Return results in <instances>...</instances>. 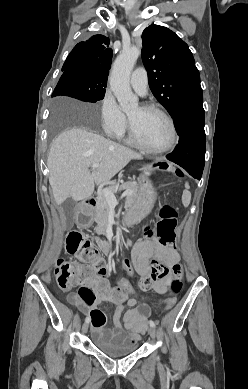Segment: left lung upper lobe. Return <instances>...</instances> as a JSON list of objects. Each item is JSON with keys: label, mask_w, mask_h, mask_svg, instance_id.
<instances>
[{"label": "left lung upper lobe", "mask_w": 248, "mask_h": 389, "mask_svg": "<svg viewBox=\"0 0 248 389\" xmlns=\"http://www.w3.org/2000/svg\"><path fill=\"white\" fill-rule=\"evenodd\" d=\"M142 45L150 89L171 116L187 101L203 97L193 55L173 31L152 24L143 31Z\"/></svg>", "instance_id": "1"}]
</instances>
